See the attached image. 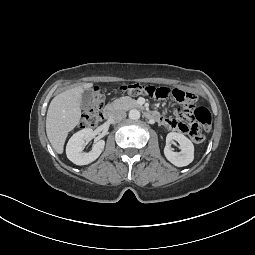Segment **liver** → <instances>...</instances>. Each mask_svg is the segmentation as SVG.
<instances>
[{
    "label": "liver",
    "instance_id": "1",
    "mask_svg": "<svg viewBox=\"0 0 255 255\" xmlns=\"http://www.w3.org/2000/svg\"><path fill=\"white\" fill-rule=\"evenodd\" d=\"M92 83L74 87L56 95L48 108L46 117V133L58 153H63L68 133L73 130L81 118V95L84 90L92 87Z\"/></svg>",
    "mask_w": 255,
    "mask_h": 255
}]
</instances>
